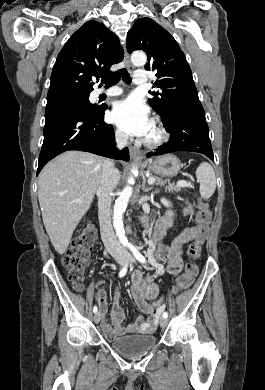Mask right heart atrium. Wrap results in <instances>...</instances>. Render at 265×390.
I'll use <instances>...</instances> for the list:
<instances>
[{
    "label": "right heart atrium",
    "mask_w": 265,
    "mask_h": 390,
    "mask_svg": "<svg viewBox=\"0 0 265 390\" xmlns=\"http://www.w3.org/2000/svg\"><path fill=\"white\" fill-rule=\"evenodd\" d=\"M116 138H117L118 141H124L125 140L124 135L121 132H119V131L116 132Z\"/></svg>",
    "instance_id": "obj_1"
}]
</instances>
